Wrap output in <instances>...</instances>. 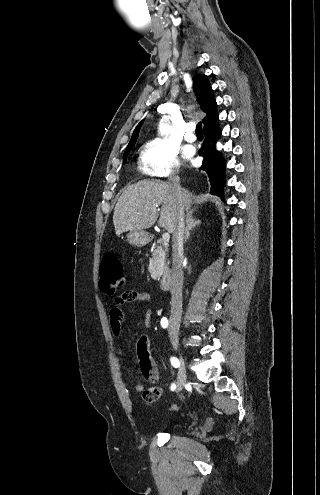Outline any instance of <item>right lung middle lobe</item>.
I'll return each instance as SVG.
<instances>
[{
	"label": "right lung middle lobe",
	"mask_w": 320,
	"mask_h": 495,
	"mask_svg": "<svg viewBox=\"0 0 320 495\" xmlns=\"http://www.w3.org/2000/svg\"><path fill=\"white\" fill-rule=\"evenodd\" d=\"M130 150H131V148H130V149H127V150H125L124 155H123V160H124V162L126 161V157H127L128 153L130 152Z\"/></svg>",
	"instance_id": "dd1d6c3e"
}]
</instances>
